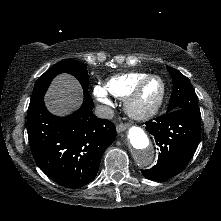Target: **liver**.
I'll return each instance as SVG.
<instances>
[{"label": "liver", "mask_w": 221, "mask_h": 221, "mask_svg": "<svg viewBox=\"0 0 221 221\" xmlns=\"http://www.w3.org/2000/svg\"><path fill=\"white\" fill-rule=\"evenodd\" d=\"M83 99L79 82L71 75L60 74L51 83L45 96V104L50 112L64 116L78 108Z\"/></svg>", "instance_id": "6515ba94"}]
</instances>
